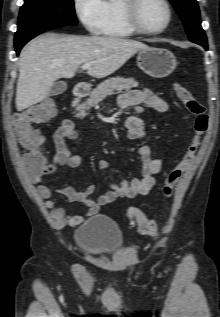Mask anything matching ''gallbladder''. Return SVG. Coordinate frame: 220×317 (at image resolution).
<instances>
[{
    "label": "gallbladder",
    "mask_w": 220,
    "mask_h": 317,
    "mask_svg": "<svg viewBox=\"0 0 220 317\" xmlns=\"http://www.w3.org/2000/svg\"><path fill=\"white\" fill-rule=\"evenodd\" d=\"M67 90V84L65 82H55L49 91V96H57L64 93Z\"/></svg>",
    "instance_id": "bac80fb5"
}]
</instances>
